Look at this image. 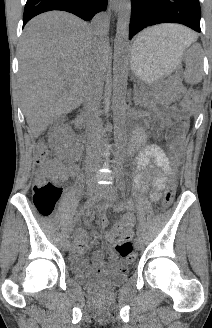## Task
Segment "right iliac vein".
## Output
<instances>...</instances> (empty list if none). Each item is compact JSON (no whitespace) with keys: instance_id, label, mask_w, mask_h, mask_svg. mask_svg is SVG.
<instances>
[{"instance_id":"1","label":"right iliac vein","mask_w":212,"mask_h":328,"mask_svg":"<svg viewBox=\"0 0 212 328\" xmlns=\"http://www.w3.org/2000/svg\"><path fill=\"white\" fill-rule=\"evenodd\" d=\"M94 190H95V187H94L93 183H91V182L88 183L87 190H86L87 195L92 196L94 193ZM70 247H71L70 239H69V237H66V239L64 240V243H63V248L65 251H69Z\"/></svg>"}]
</instances>
